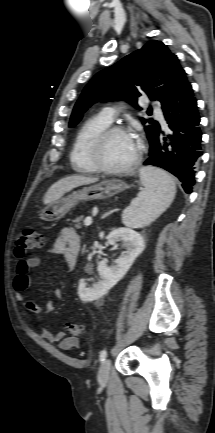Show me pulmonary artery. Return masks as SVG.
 <instances>
[{
  "label": "pulmonary artery",
  "mask_w": 215,
  "mask_h": 433,
  "mask_svg": "<svg viewBox=\"0 0 215 433\" xmlns=\"http://www.w3.org/2000/svg\"><path fill=\"white\" fill-rule=\"evenodd\" d=\"M155 110H156V109H155ZM101 115H102L105 119H107L108 121L112 122V121L114 120L115 116H116V109H115L114 107H112V106L105 107V108L101 111ZM155 116H156V118L160 121V123L162 124L163 127H166V126H167L166 121H165V118H164V116H163L162 113H160V112H158V111L156 110Z\"/></svg>",
  "instance_id": "e3ab8cb5"
}]
</instances>
